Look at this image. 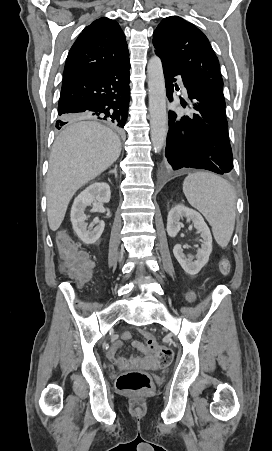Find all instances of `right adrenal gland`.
Segmentation results:
<instances>
[{"label":"right adrenal gland","instance_id":"right-adrenal-gland-1","mask_svg":"<svg viewBox=\"0 0 272 451\" xmlns=\"http://www.w3.org/2000/svg\"><path fill=\"white\" fill-rule=\"evenodd\" d=\"M109 174H115V178H117V166H115L114 170H110Z\"/></svg>","mask_w":272,"mask_h":451}]
</instances>
